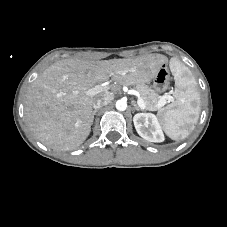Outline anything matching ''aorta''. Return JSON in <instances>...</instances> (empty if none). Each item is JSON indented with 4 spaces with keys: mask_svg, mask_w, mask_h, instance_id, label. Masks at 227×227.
I'll return each mask as SVG.
<instances>
[{
    "mask_svg": "<svg viewBox=\"0 0 227 227\" xmlns=\"http://www.w3.org/2000/svg\"><path fill=\"white\" fill-rule=\"evenodd\" d=\"M126 108H127V102L125 100L120 99L116 102L117 110L124 111V110H126Z\"/></svg>",
    "mask_w": 227,
    "mask_h": 227,
    "instance_id": "762f6f07",
    "label": "aorta"
}]
</instances>
